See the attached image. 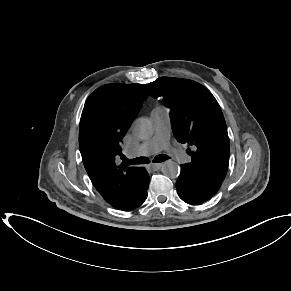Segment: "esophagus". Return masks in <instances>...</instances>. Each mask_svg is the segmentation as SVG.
<instances>
[{"label": "esophagus", "mask_w": 291, "mask_h": 291, "mask_svg": "<svg viewBox=\"0 0 291 291\" xmlns=\"http://www.w3.org/2000/svg\"><path fill=\"white\" fill-rule=\"evenodd\" d=\"M162 163H152L150 164L148 167L153 170V171H156L158 169H160L162 167Z\"/></svg>", "instance_id": "1"}]
</instances>
